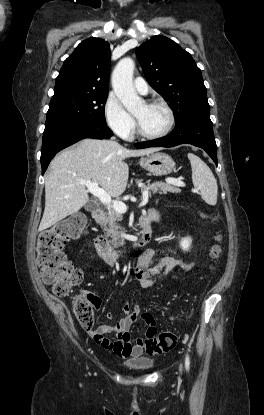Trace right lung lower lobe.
<instances>
[{"label":"right lung lower lobe","instance_id":"1","mask_svg":"<svg viewBox=\"0 0 264 415\" xmlns=\"http://www.w3.org/2000/svg\"><path fill=\"white\" fill-rule=\"evenodd\" d=\"M112 131L105 123H75L44 131L41 148L42 174L45 173L50 161L62 149L84 138L108 139Z\"/></svg>","mask_w":264,"mask_h":415}]
</instances>
